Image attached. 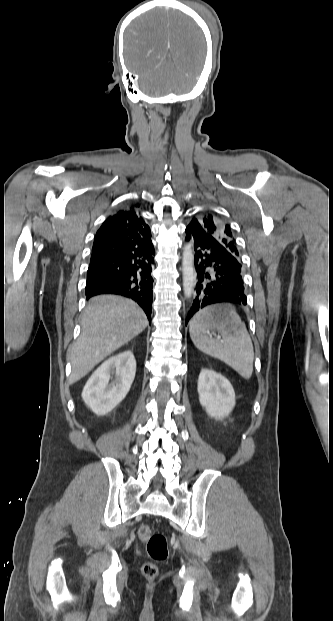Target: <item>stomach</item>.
Returning <instances> with one entry per match:
<instances>
[{"label":"stomach","instance_id":"0dacf381","mask_svg":"<svg viewBox=\"0 0 333 621\" xmlns=\"http://www.w3.org/2000/svg\"><path fill=\"white\" fill-rule=\"evenodd\" d=\"M210 309V323H216L218 325L229 324L231 321L238 317L236 311L228 305H215L211 306Z\"/></svg>","mask_w":333,"mask_h":621}]
</instances>
